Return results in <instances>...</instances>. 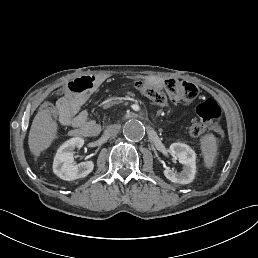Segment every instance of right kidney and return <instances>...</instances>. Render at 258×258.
<instances>
[{
	"instance_id": "ca27d5eb",
	"label": "right kidney",
	"mask_w": 258,
	"mask_h": 258,
	"mask_svg": "<svg viewBox=\"0 0 258 258\" xmlns=\"http://www.w3.org/2000/svg\"><path fill=\"white\" fill-rule=\"evenodd\" d=\"M85 141L82 137H73L64 142L57 150L53 161V171L61 179L71 181L87 176L94 167L91 161L72 164L74 148H81Z\"/></svg>"
}]
</instances>
